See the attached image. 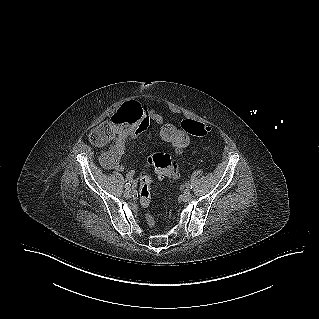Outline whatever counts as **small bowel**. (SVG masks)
<instances>
[{
    "mask_svg": "<svg viewBox=\"0 0 319 319\" xmlns=\"http://www.w3.org/2000/svg\"><path fill=\"white\" fill-rule=\"evenodd\" d=\"M118 107L90 129L89 140L96 147L113 143L102 152L100 162L105 168L126 172L130 177L132 170L121 162L127 140L146 133L150 124L158 128L165 121L155 109L142 105L141 101H119ZM181 123L178 121V130H182ZM184 135L188 134L184 132ZM173 151L177 156L183 153V150Z\"/></svg>",
    "mask_w": 319,
    "mask_h": 319,
    "instance_id": "c3829d8e",
    "label": "small bowel"
}]
</instances>
